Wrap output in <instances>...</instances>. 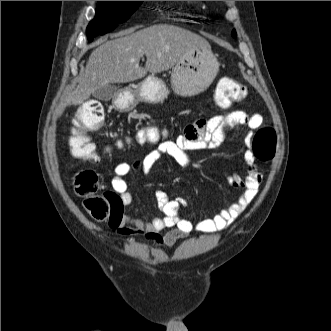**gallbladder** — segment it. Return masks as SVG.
<instances>
[{"label": "gallbladder", "mask_w": 331, "mask_h": 331, "mask_svg": "<svg viewBox=\"0 0 331 331\" xmlns=\"http://www.w3.org/2000/svg\"><path fill=\"white\" fill-rule=\"evenodd\" d=\"M118 94V88L115 85L108 84L103 87L98 88L93 96L101 101H109L112 98L116 97Z\"/></svg>", "instance_id": "obj_1"}]
</instances>
